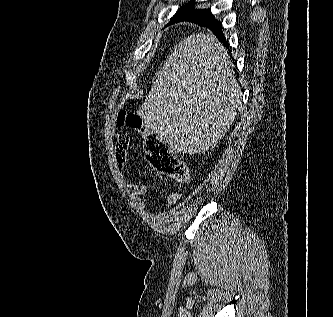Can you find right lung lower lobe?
<instances>
[{
    "mask_svg": "<svg viewBox=\"0 0 333 317\" xmlns=\"http://www.w3.org/2000/svg\"><path fill=\"white\" fill-rule=\"evenodd\" d=\"M181 21L194 22L198 25L205 26L213 31V33L218 37V39L226 44V38L222 32V23L215 19V17L209 13L205 15L194 16L192 18H187Z\"/></svg>",
    "mask_w": 333,
    "mask_h": 317,
    "instance_id": "98d812e1",
    "label": "right lung lower lobe"
}]
</instances>
